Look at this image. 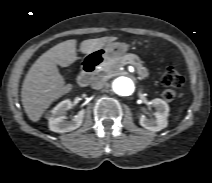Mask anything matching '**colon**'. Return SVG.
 <instances>
[{"instance_id":"1","label":"colon","mask_w":212,"mask_h":183,"mask_svg":"<svg viewBox=\"0 0 212 183\" xmlns=\"http://www.w3.org/2000/svg\"><path fill=\"white\" fill-rule=\"evenodd\" d=\"M161 82L165 89L162 92L164 100L170 102L176 97L175 88L180 87L183 82V76L174 67H168L161 78Z\"/></svg>"}]
</instances>
